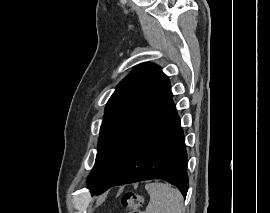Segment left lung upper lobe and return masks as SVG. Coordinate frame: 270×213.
I'll list each match as a JSON object with an SVG mask.
<instances>
[{
	"mask_svg": "<svg viewBox=\"0 0 270 213\" xmlns=\"http://www.w3.org/2000/svg\"><path fill=\"white\" fill-rule=\"evenodd\" d=\"M171 94L170 82L160 67L137 65L116 87L106 104L95 165L87 178L92 191L139 125Z\"/></svg>",
	"mask_w": 270,
	"mask_h": 213,
	"instance_id": "5c2ea615",
	"label": "left lung upper lobe"
}]
</instances>
